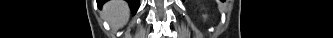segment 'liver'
I'll list each match as a JSON object with an SVG mask.
<instances>
[{"label": "liver", "instance_id": "1", "mask_svg": "<svg viewBox=\"0 0 333 38\" xmlns=\"http://www.w3.org/2000/svg\"><path fill=\"white\" fill-rule=\"evenodd\" d=\"M106 9L111 20L123 19L127 14L126 4L122 1L109 2Z\"/></svg>", "mask_w": 333, "mask_h": 38}]
</instances>
